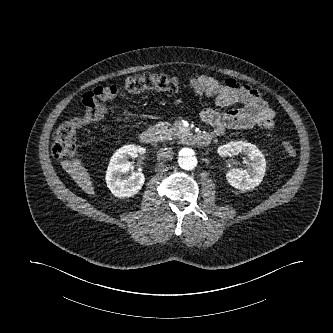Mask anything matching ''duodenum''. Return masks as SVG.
<instances>
[{
    "label": "duodenum",
    "mask_w": 333,
    "mask_h": 333,
    "mask_svg": "<svg viewBox=\"0 0 333 333\" xmlns=\"http://www.w3.org/2000/svg\"><path fill=\"white\" fill-rule=\"evenodd\" d=\"M211 136L206 133H186L184 140L194 146L204 147L211 142ZM140 142L143 144H151L155 140V134L152 131H144L140 134Z\"/></svg>",
    "instance_id": "410a0bca"
}]
</instances>
